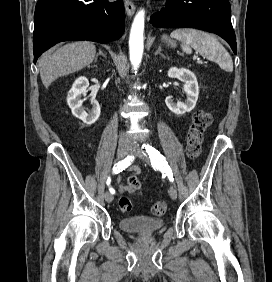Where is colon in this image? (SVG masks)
<instances>
[{"mask_svg": "<svg viewBox=\"0 0 272 282\" xmlns=\"http://www.w3.org/2000/svg\"><path fill=\"white\" fill-rule=\"evenodd\" d=\"M212 123V114L208 111H198L194 114L193 120L189 126L187 138H186V152L187 156L194 160L201 154V146L203 142V135L205 130ZM137 179L131 177L128 179V184H136ZM119 206L122 212L130 213L133 205L129 198L123 197L119 200ZM167 210V204L165 201H156L151 208L152 215L160 217L165 214Z\"/></svg>", "mask_w": 272, "mask_h": 282, "instance_id": "5ec220e1", "label": "colon"}]
</instances>
